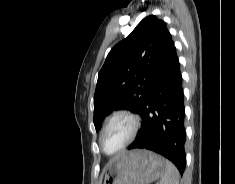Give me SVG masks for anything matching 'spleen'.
Wrapping results in <instances>:
<instances>
[{
    "mask_svg": "<svg viewBox=\"0 0 235 184\" xmlns=\"http://www.w3.org/2000/svg\"><path fill=\"white\" fill-rule=\"evenodd\" d=\"M164 170L158 184H179L180 174L172 162L163 158Z\"/></svg>",
    "mask_w": 235,
    "mask_h": 184,
    "instance_id": "1",
    "label": "spleen"
}]
</instances>
